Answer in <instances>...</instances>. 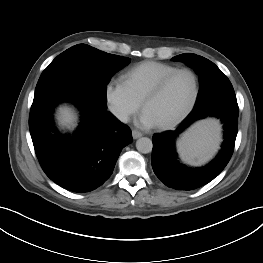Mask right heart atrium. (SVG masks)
Returning a JSON list of instances; mask_svg holds the SVG:
<instances>
[{"label":"right heart atrium","instance_id":"d8ad5b80","mask_svg":"<svg viewBox=\"0 0 263 263\" xmlns=\"http://www.w3.org/2000/svg\"><path fill=\"white\" fill-rule=\"evenodd\" d=\"M104 98L110 113L126 123L141 107V102L130 92L123 80L111 78L104 87Z\"/></svg>","mask_w":263,"mask_h":263}]
</instances>
